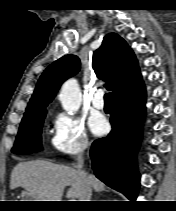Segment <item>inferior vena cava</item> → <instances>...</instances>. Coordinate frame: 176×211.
<instances>
[{"label":"inferior vena cava","instance_id":"602c4592","mask_svg":"<svg viewBox=\"0 0 176 211\" xmlns=\"http://www.w3.org/2000/svg\"><path fill=\"white\" fill-rule=\"evenodd\" d=\"M86 147L87 146H84L83 149H85ZM82 167H83V159H82L81 156H79L77 168H78V171H79L80 176L82 178L83 186H84V196H83L82 200L83 201H91L90 200L91 194H92L91 186H90V183L88 181L87 174L82 170Z\"/></svg>","mask_w":176,"mask_h":211}]
</instances>
